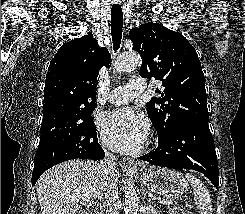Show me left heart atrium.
Masks as SVG:
<instances>
[{"label":"left heart atrium","mask_w":245,"mask_h":214,"mask_svg":"<svg viewBox=\"0 0 245 214\" xmlns=\"http://www.w3.org/2000/svg\"><path fill=\"white\" fill-rule=\"evenodd\" d=\"M98 125L107 146L122 153L139 148L149 130L147 120L129 108L103 114Z\"/></svg>","instance_id":"1"}]
</instances>
